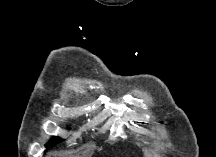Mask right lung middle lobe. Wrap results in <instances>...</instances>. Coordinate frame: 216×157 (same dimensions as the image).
<instances>
[{
    "instance_id": "1",
    "label": "right lung middle lobe",
    "mask_w": 216,
    "mask_h": 157,
    "mask_svg": "<svg viewBox=\"0 0 216 157\" xmlns=\"http://www.w3.org/2000/svg\"><path fill=\"white\" fill-rule=\"evenodd\" d=\"M61 141H62V140H61L60 138L54 137V138H52L45 146H46V147H50V146L55 145L56 143H59V142H61Z\"/></svg>"
}]
</instances>
